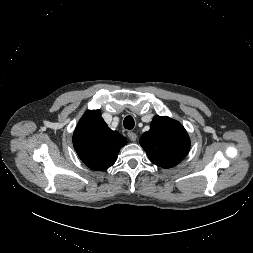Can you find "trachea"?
<instances>
[{
    "mask_svg": "<svg viewBox=\"0 0 253 253\" xmlns=\"http://www.w3.org/2000/svg\"><path fill=\"white\" fill-rule=\"evenodd\" d=\"M135 125V122H134V119L132 116H126L125 119H124V128L125 129H128V130H131L133 129Z\"/></svg>",
    "mask_w": 253,
    "mask_h": 253,
    "instance_id": "obj_1",
    "label": "trachea"
}]
</instances>
